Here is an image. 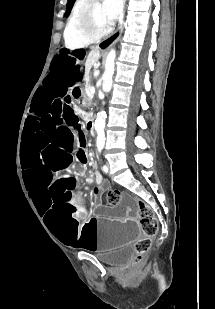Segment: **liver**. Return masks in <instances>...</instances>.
Instances as JSON below:
<instances>
[{"instance_id": "obj_1", "label": "liver", "mask_w": 215, "mask_h": 309, "mask_svg": "<svg viewBox=\"0 0 215 309\" xmlns=\"http://www.w3.org/2000/svg\"><path fill=\"white\" fill-rule=\"evenodd\" d=\"M92 50H90L86 60H85V70L89 72L91 66H93L94 62H97L100 58V50L97 46H91Z\"/></svg>"}]
</instances>
